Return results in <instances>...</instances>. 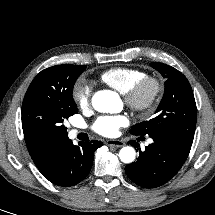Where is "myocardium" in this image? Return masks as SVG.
I'll return each instance as SVG.
<instances>
[{
	"label": "myocardium",
	"instance_id": "obj_1",
	"mask_svg": "<svg viewBox=\"0 0 215 215\" xmlns=\"http://www.w3.org/2000/svg\"><path fill=\"white\" fill-rule=\"evenodd\" d=\"M163 90L164 83L161 78L147 75L123 94L124 101L132 111L147 116L156 109Z\"/></svg>",
	"mask_w": 215,
	"mask_h": 215
}]
</instances>
